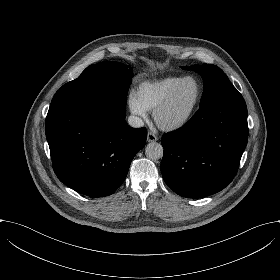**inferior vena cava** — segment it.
Returning <instances> with one entry per match:
<instances>
[{"mask_svg":"<svg viewBox=\"0 0 280 280\" xmlns=\"http://www.w3.org/2000/svg\"><path fill=\"white\" fill-rule=\"evenodd\" d=\"M127 121L128 124L133 128H139L143 126V120L138 116L131 115L128 117Z\"/></svg>","mask_w":280,"mask_h":280,"instance_id":"obj_1","label":"inferior vena cava"}]
</instances>
